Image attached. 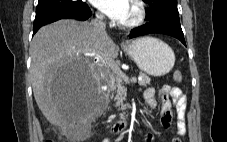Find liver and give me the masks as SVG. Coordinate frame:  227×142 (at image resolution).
I'll return each mask as SVG.
<instances>
[{
    "label": "liver",
    "instance_id": "1",
    "mask_svg": "<svg viewBox=\"0 0 227 142\" xmlns=\"http://www.w3.org/2000/svg\"><path fill=\"white\" fill-rule=\"evenodd\" d=\"M30 55L36 103L52 125L67 130L81 117L80 102L91 90L88 83L98 89L103 76L109 75L118 47L108 36L95 37L87 22L59 20L38 30ZM69 61H82L83 78H70L79 80L78 88H61L63 78H53Z\"/></svg>",
    "mask_w": 227,
    "mask_h": 142
}]
</instances>
